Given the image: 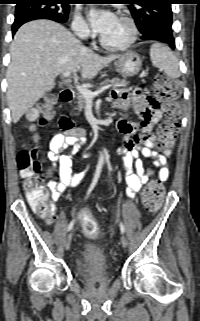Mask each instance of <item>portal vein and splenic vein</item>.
I'll return each mask as SVG.
<instances>
[{"mask_svg": "<svg viewBox=\"0 0 200 321\" xmlns=\"http://www.w3.org/2000/svg\"><path fill=\"white\" fill-rule=\"evenodd\" d=\"M62 75H63V77L68 78V77H70L71 72H69V71L64 72ZM110 87H111V85H106V86H103L101 89H99L95 92H92L87 88L76 85V89L78 90V92L80 94H82L86 99H89V100L93 99L96 95L100 94L101 92L108 90Z\"/></svg>", "mask_w": 200, "mask_h": 321, "instance_id": "obj_1", "label": "portal vein and splenic vein"}]
</instances>
